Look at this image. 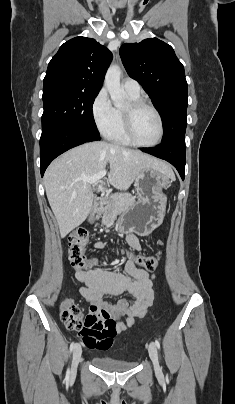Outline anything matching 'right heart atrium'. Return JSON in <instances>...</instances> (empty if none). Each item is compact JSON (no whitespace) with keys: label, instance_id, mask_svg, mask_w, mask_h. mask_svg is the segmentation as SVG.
Masks as SVG:
<instances>
[{"label":"right heart atrium","instance_id":"right-heart-atrium-1","mask_svg":"<svg viewBox=\"0 0 235 404\" xmlns=\"http://www.w3.org/2000/svg\"><path fill=\"white\" fill-rule=\"evenodd\" d=\"M91 113L97 129L105 135L111 129L115 116V108L105 89H101L95 96Z\"/></svg>","mask_w":235,"mask_h":404}]
</instances>
